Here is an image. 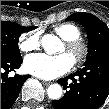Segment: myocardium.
Segmentation results:
<instances>
[{
	"mask_svg": "<svg viewBox=\"0 0 109 109\" xmlns=\"http://www.w3.org/2000/svg\"><path fill=\"white\" fill-rule=\"evenodd\" d=\"M66 50L75 56L73 65L81 67L87 61L89 55L88 44L82 38H75L65 42Z\"/></svg>",
	"mask_w": 109,
	"mask_h": 109,
	"instance_id": "obj_1",
	"label": "myocardium"
}]
</instances>
